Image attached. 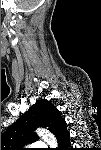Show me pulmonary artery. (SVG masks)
Masks as SVG:
<instances>
[{
  "label": "pulmonary artery",
  "instance_id": "pulmonary-artery-1",
  "mask_svg": "<svg viewBox=\"0 0 101 150\" xmlns=\"http://www.w3.org/2000/svg\"><path fill=\"white\" fill-rule=\"evenodd\" d=\"M44 144L43 143H41V142H37L36 144H35V146H43Z\"/></svg>",
  "mask_w": 101,
  "mask_h": 150
}]
</instances>
